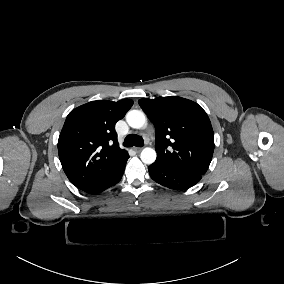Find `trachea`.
Returning a JSON list of instances; mask_svg holds the SVG:
<instances>
[{
	"instance_id": "trachea-1",
	"label": "trachea",
	"mask_w": 284,
	"mask_h": 284,
	"mask_svg": "<svg viewBox=\"0 0 284 284\" xmlns=\"http://www.w3.org/2000/svg\"><path fill=\"white\" fill-rule=\"evenodd\" d=\"M144 145V140L141 136L139 135H127L124 142L123 146L125 147H142Z\"/></svg>"
}]
</instances>
